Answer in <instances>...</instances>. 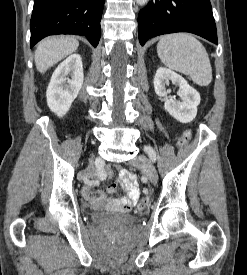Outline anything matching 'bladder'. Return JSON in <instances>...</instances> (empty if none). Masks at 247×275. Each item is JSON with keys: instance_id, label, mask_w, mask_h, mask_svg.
<instances>
[{"instance_id": "1", "label": "bladder", "mask_w": 247, "mask_h": 275, "mask_svg": "<svg viewBox=\"0 0 247 275\" xmlns=\"http://www.w3.org/2000/svg\"><path fill=\"white\" fill-rule=\"evenodd\" d=\"M90 218L94 224L101 226H130L135 222V218L131 215L108 211H93Z\"/></svg>"}]
</instances>
